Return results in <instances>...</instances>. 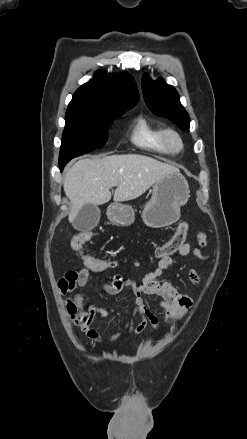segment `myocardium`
<instances>
[{"label":"myocardium","mask_w":247,"mask_h":439,"mask_svg":"<svg viewBox=\"0 0 247 439\" xmlns=\"http://www.w3.org/2000/svg\"><path fill=\"white\" fill-rule=\"evenodd\" d=\"M173 141L176 142V145L173 144ZM162 142L166 150L172 154H177L181 152L184 148V142L182 140V137L176 130L171 128L163 129Z\"/></svg>","instance_id":"myocardium-1"}]
</instances>
